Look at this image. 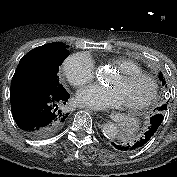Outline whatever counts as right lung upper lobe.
Wrapping results in <instances>:
<instances>
[{"label": "right lung upper lobe", "instance_id": "obj_1", "mask_svg": "<svg viewBox=\"0 0 177 177\" xmlns=\"http://www.w3.org/2000/svg\"><path fill=\"white\" fill-rule=\"evenodd\" d=\"M62 44L63 43H60V42L46 44V45H43V46H40V47H37V48L33 49L29 53H34V52H37V51H45L46 52V51L55 49L57 47H60Z\"/></svg>", "mask_w": 177, "mask_h": 177}]
</instances>
